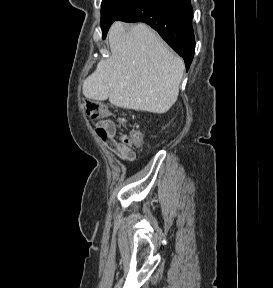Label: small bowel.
<instances>
[{
    "label": "small bowel",
    "mask_w": 273,
    "mask_h": 288,
    "mask_svg": "<svg viewBox=\"0 0 273 288\" xmlns=\"http://www.w3.org/2000/svg\"><path fill=\"white\" fill-rule=\"evenodd\" d=\"M101 127L105 131V135L101 137L104 144L115 153L118 157L123 160L131 161L135 158V152L126 147L125 145L119 144L115 140L116 128L110 121H105L101 124Z\"/></svg>",
    "instance_id": "small-bowel-1"
}]
</instances>
